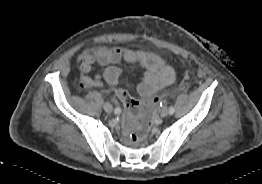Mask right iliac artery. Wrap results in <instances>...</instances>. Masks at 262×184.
Here are the masks:
<instances>
[{
	"mask_svg": "<svg viewBox=\"0 0 262 184\" xmlns=\"http://www.w3.org/2000/svg\"><path fill=\"white\" fill-rule=\"evenodd\" d=\"M120 111H121V109H120L119 107H117V108H115L114 113H115V114H119Z\"/></svg>",
	"mask_w": 262,
	"mask_h": 184,
	"instance_id": "1",
	"label": "right iliac artery"
}]
</instances>
